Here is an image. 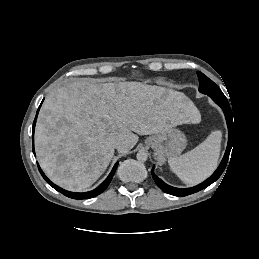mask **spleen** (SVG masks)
Masks as SVG:
<instances>
[{
    "label": "spleen",
    "mask_w": 259,
    "mask_h": 259,
    "mask_svg": "<svg viewBox=\"0 0 259 259\" xmlns=\"http://www.w3.org/2000/svg\"><path fill=\"white\" fill-rule=\"evenodd\" d=\"M222 132H212L193 150L168 159L170 169L186 184L195 185L209 177L218 165Z\"/></svg>",
    "instance_id": "3e777b00"
}]
</instances>
